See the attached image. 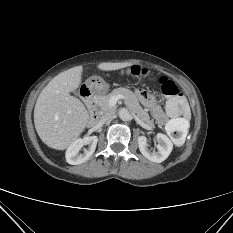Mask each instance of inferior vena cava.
<instances>
[{"mask_svg":"<svg viewBox=\"0 0 233 233\" xmlns=\"http://www.w3.org/2000/svg\"><path fill=\"white\" fill-rule=\"evenodd\" d=\"M114 116H115L114 111H107L104 114H102V116L100 117V123H106L107 121L113 119Z\"/></svg>","mask_w":233,"mask_h":233,"instance_id":"inferior-vena-cava-1","label":"inferior vena cava"}]
</instances>
